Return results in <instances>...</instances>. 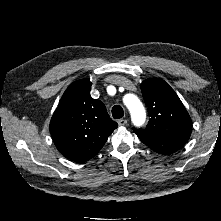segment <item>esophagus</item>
Returning <instances> with one entry per match:
<instances>
[{
  "mask_svg": "<svg viewBox=\"0 0 221 221\" xmlns=\"http://www.w3.org/2000/svg\"><path fill=\"white\" fill-rule=\"evenodd\" d=\"M118 124L120 125V126H124V125H126L127 124V120L126 119H119L118 120Z\"/></svg>",
  "mask_w": 221,
  "mask_h": 221,
  "instance_id": "esophagus-1",
  "label": "esophagus"
}]
</instances>
